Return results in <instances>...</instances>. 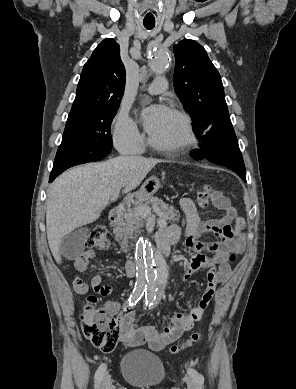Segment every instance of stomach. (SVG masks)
<instances>
[{
	"mask_svg": "<svg viewBox=\"0 0 296 389\" xmlns=\"http://www.w3.org/2000/svg\"><path fill=\"white\" fill-rule=\"evenodd\" d=\"M159 187V180L155 177H151L141 187L140 191L137 193V197H139L140 199L150 198Z\"/></svg>",
	"mask_w": 296,
	"mask_h": 389,
	"instance_id": "0dacf381",
	"label": "stomach"
}]
</instances>
